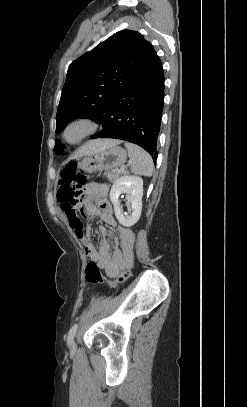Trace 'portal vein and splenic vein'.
Listing matches in <instances>:
<instances>
[{"label": "portal vein and splenic vein", "mask_w": 247, "mask_h": 407, "mask_svg": "<svg viewBox=\"0 0 247 407\" xmlns=\"http://www.w3.org/2000/svg\"><path fill=\"white\" fill-rule=\"evenodd\" d=\"M125 168H126V167H124V166H123V167H122V168H121L119 171H124V170H125Z\"/></svg>", "instance_id": "18ae733b"}]
</instances>
